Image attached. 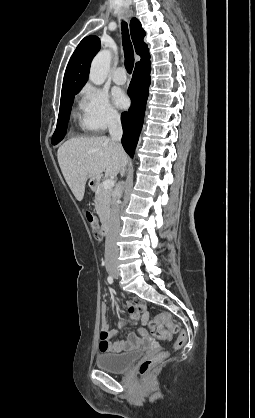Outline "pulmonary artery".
Instances as JSON below:
<instances>
[{"instance_id":"e3ab8cb5","label":"pulmonary artery","mask_w":255,"mask_h":418,"mask_svg":"<svg viewBox=\"0 0 255 418\" xmlns=\"http://www.w3.org/2000/svg\"><path fill=\"white\" fill-rule=\"evenodd\" d=\"M112 78L116 84H120V85L124 84L127 80L125 68L124 67L116 68L113 73Z\"/></svg>"}]
</instances>
